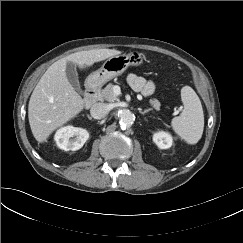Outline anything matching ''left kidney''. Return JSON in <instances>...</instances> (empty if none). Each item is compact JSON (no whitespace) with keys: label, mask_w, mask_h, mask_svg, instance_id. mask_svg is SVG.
Returning <instances> with one entry per match:
<instances>
[{"label":"left kidney","mask_w":243,"mask_h":243,"mask_svg":"<svg viewBox=\"0 0 243 243\" xmlns=\"http://www.w3.org/2000/svg\"><path fill=\"white\" fill-rule=\"evenodd\" d=\"M153 141L160 149H168L173 143L171 135L163 131L155 133L153 135Z\"/></svg>","instance_id":"obj_1"}]
</instances>
